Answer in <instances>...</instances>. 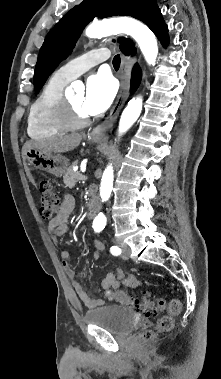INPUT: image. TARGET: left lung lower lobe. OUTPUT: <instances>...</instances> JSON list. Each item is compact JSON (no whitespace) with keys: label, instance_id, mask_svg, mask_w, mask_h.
<instances>
[{"label":"left lung lower lobe","instance_id":"0a47b994","mask_svg":"<svg viewBox=\"0 0 221 379\" xmlns=\"http://www.w3.org/2000/svg\"><path fill=\"white\" fill-rule=\"evenodd\" d=\"M158 37L162 44H168L167 25L164 23L161 12L154 4L141 19ZM121 51L126 54H135V47L131 40L123 39L120 44Z\"/></svg>","mask_w":221,"mask_h":379}]
</instances>
